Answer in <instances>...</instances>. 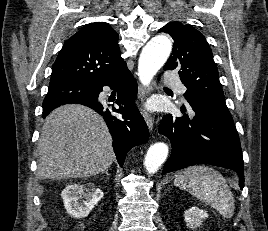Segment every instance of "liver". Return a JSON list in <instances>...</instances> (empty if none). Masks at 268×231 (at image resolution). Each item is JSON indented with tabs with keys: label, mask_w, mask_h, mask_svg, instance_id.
Returning a JSON list of instances; mask_svg holds the SVG:
<instances>
[{
	"label": "liver",
	"mask_w": 268,
	"mask_h": 231,
	"mask_svg": "<svg viewBox=\"0 0 268 231\" xmlns=\"http://www.w3.org/2000/svg\"><path fill=\"white\" fill-rule=\"evenodd\" d=\"M38 150L39 179L92 177L104 172L115 160L104 120L79 104L60 106L46 117Z\"/></svg>",
	"instance_id": "1"
}]
</instances>
